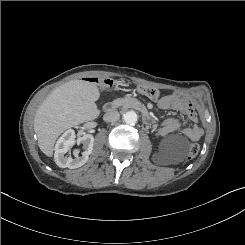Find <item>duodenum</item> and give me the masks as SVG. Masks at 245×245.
<instances>
[{
  "mask_svg": "<svg viewBox=\"0 0 245 245\" xmlns=\"http://www.w3.org/2000/svg\"><path fill=\"white\" fill-rule=\"evenodd\" d=\"M116 107V103L110 102L107 103L105 108L107 111H111ZM143 120L146 124H151L152 123V118L148 115V113H143Z\"/></svg>",
  "mask_w": 245,
  "mask_h": 245,
  "instance_id": "410a0bca",
  "label": "duodenum"
}]
</instances>
